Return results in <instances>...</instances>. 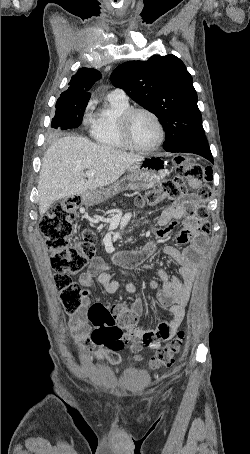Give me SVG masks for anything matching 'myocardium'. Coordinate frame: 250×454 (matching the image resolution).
I'll return each mask as SVG.
<instances>
[{
  "label": "myocardium",
  "mask_w": 250,
  "mask_h": 454,
  "mask_svg": "<svg viewBox=\"0 0 250 454\" xmlns=\"http://www.w3.org/2000/svg\"><path fill=\"white\" fill-rule=\"evenodd\" d=\"M139 113H144L149 115L155 122L159 136L157 141L146 148L139 147L134 144L132 138H131V132H130V124L133 119V117L136 114ZM118 128H119V133L121 136V139L125 146L133 151L139 152V153H151L153 151H156L164 142L165 140V129L164 126L161 122V119L159 116L153 112L152 110L145 108V107H130L127 110H125L123 113L120 114L118 118Z\"/></svg>",
  "instance_id": "myocardium-1"
}]
</instances>
